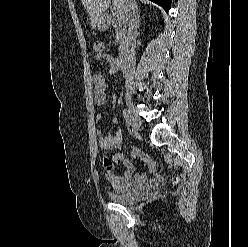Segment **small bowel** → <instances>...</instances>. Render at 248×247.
I'll return each mask as SVG.
<instances>
[{
	"label": "small bowel",
	"mask_w": 248,
	"mask_h": 247,
	"mask_svg": "<svg viewBox=\"0 0 248 247\" xmlns=\"http://www.w3.org/2000/svg\"><path fill=\"white\" fill-rule=\"evenodd\" d=\"M94 69L99 68L97 62L104 61L109 65V71L111 74H116L120 70L119 61L112 55L106 53H100L94 55ZM93 84V95H94V104L97 107H100L105 104L107 101V88L106 81L102 74L95 73L92 77ZM102 116L97 114L95 116V121L100 122ZM113 122H116V119H113ZM99 134V146L104 152L103 155V164L106 169V178L112 183V185L117 189H127L137 184H142L147 180L146 172H139L133 176L134 168L132 163L125 159L123 155L119 152V148L123 142V134L118 133H109L103 134L101 131H98ZM115 163H122L126 171L123 175H117L114 170Z\"/></svg>",
	"instance_id": "obj_1"
}]
</instances>
